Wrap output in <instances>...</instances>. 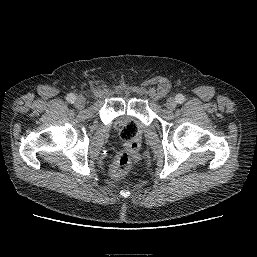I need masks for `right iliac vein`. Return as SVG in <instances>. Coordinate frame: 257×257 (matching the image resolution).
Masks as SVG:
<instances>
[{"instance_id": "obj_1", "label": "right iliac vein", "mask_w": 257, "mask_h": 257, "mask_svg": "<svg viewBox=\"0 0 257 257\" xmlns=\"http://www.w3.org/2000/svg\"><path fill=\"white\" fill-rule=\"evenodd\" d=\"M86 104V100L83 96H78L76 99H75V106L79 109L83 108Z\"/></svg>"}]
</instances>
